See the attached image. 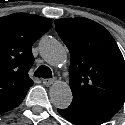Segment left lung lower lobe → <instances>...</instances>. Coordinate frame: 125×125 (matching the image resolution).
<instances>
[{
    "label": "left lung lower lobe",
    "instance_id": "0a47b994",
    "mask_svg": "<svg viewBox=\"0 0 125 125\" xmlns=\"http://www.w3.org/2000/svg\"><path fill=\"white\" fill-rule=\"evenodd\" d=\"M120 108L116 106H93L58 109V112L68 121L76 125H100L111 119Z\"/></svg>",
    "mask_w": 125,
    "mask_h": 125
}]
</instances>
